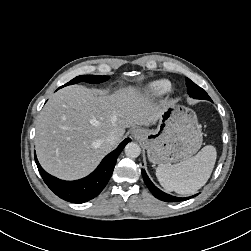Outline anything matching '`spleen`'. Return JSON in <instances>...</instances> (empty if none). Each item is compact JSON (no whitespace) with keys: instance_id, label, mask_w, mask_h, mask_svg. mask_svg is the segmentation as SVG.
<instances>
[{"instance_id":"spleen-1","label":"spleen","mask_w":251,"mask_h":251,"mask_svg":"<svg viewBox=\"0 0 251 251\" xmlns=\"http://www.w3.org/2000/svg\"><path fill=\"white\" fill-rule=\"evenodd\" d=\"M216 149L205 146L195 156L177 164H160L156 177L166 191L190 195L208 181L216 162Z\"/></svg>"}]
</instances>
